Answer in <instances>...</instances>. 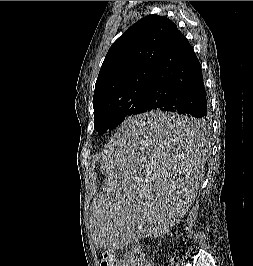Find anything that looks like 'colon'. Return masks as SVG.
<instances>
[{
	"instance_id": "1",
	"label": "colon",
	"mask_w": 253,
	"mask_h": 266,
	"mask_svg": "<svg viewBox=\"0 0 253 266\" xmlns=\"http://www.w3.org/2000/svg\"><path fill=\"white\" fill-rule=\"evenodd\" d=\"M101 266H121V262L115 253L106 252L103 255Z\"/></svg>"
}]
</instances>
